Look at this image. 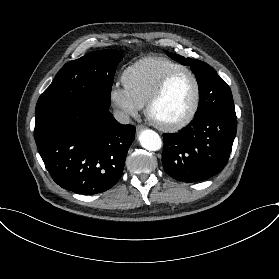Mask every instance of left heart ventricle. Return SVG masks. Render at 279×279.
I'll use <instances>...</instances> for the list:
<instances>
[{"label": "left heart ventricle", "instance_id": "left-heart-ventricle-1", "mask_svg": "<svg viewBox=\"0 0 279 279\" xmlns=\"http://www.w3.org/2000/svg\"><path fill=\"white\" fill-rule=\"evenodd\" d=\"M195 87L188 74L176 77L154 106V116L165 122L180 119L190 108Z\"/></svg>", "mask_w": 279, "mask_h": 279}]
</instances>
